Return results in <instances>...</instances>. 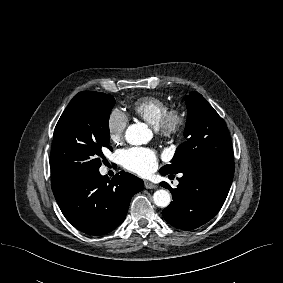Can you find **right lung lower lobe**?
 Here are the masks:
<instances>
[{
    "label": "right lung lower lobe",
    "instance_id": "98d812e1",
    "mask_svg": "<svg viewBox=\"0 0 283 283\" xmlns=\"http://www.w3.org/2000/svg\"><path fill=\"white\" fill-rule=\"evenodd\" d=\"M143 180L121 171L111 180L99 170L53 190L65 218L90 235L106 234L124 220L130 200L143 189Z\"/></svg>",
    "mask_w": 283,
    "mask_h": 283
}]
</instances>
